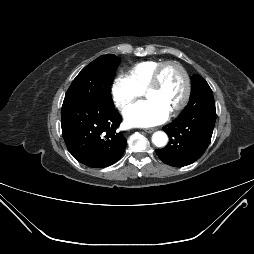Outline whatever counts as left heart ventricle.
<instances>
[{"label": "left heart ventricle", "instance_id": "obj_1", "mask_svg": "<svg viewBox=\"0 0 254 254\" xmlns=\"http://www.w3.org/2000/svg\"><path fill=\"white\" fill-rule=\"evenodd\" d=\"M184 91V81L180 71L168 66L162 73L160 85L146 96L154 100L169 112L179 103Z\"/></svg>", "mask_w": 254, "mask_h": 254}]
</instances>
